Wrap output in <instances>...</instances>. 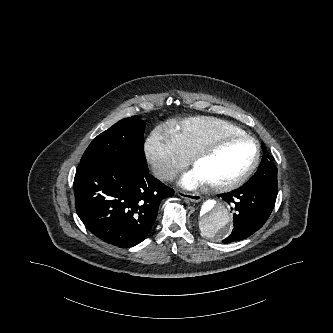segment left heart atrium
Masks as SVG:
<instances>
[{"instance_id":"left-heart-atrium-1","label":"left heart atrium","mask_w":333,"mask_h":333,"mask_svg":"<svg viewBox=\"0 0 333 333\" xmlns=\"http://www.w3.org/2000/svg\"><path fill=\"white\" fill-rule=\"evenodd\" d=\"M205 182L204 177L196 169L185 173L179 180L180 185L187 189H194Z\"/></svg>"}]
</instances>
